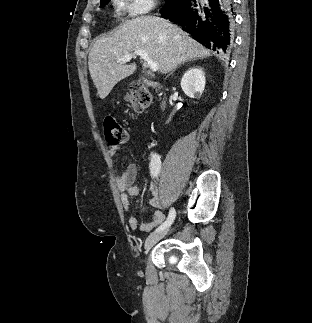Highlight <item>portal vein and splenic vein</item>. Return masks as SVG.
Instances as JSON below:
<instances>
[{"instance_id": "1", "label": "portal vein and splenic vein", "mask_w": 312, "mask_h": 323, "mask_svg": "<svg viewBox=\"0 0 312 323\" xmlns=\"http://www.w3.org/2000/svg\"><path fill=\"white\" fill-rule=\"evenodd\" d=\"M135 56H140V58H143L144 62H147V66H149L152 72H157V70H159L158 64H156V62H153V60L149 58L147 52H143V50H136V52H132V54L120 56V58H117L116 62H119V64H125V62H130V60H132V58H135Z\"/></svg>"}]
</instances>
